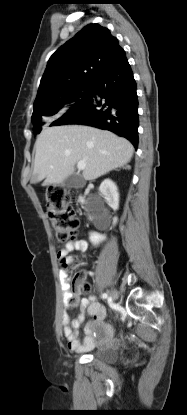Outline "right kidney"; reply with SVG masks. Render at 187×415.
<instances>
[{"label": "right kidney", "mask_w": 187, "mask_h": 415, "mask_svg": "<svg viewBox=\"0 0 187 415\" xmlns=\"http://www.w3.org/2000/svg\"><path fill=\"white\" fill-rule=\"evenodd\" d=\"M99 189L107 204L113 210H117L119 207V193L116 184L111 179H105ZM116 223L117 217L113 219V224L115 225ZM89 239L94 246H97L106 239V236L92 232L89 234Z\"/></svg>", "instance_id": "1"}]
</instances>
